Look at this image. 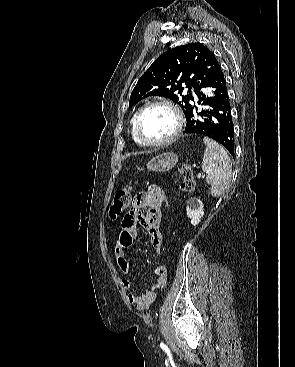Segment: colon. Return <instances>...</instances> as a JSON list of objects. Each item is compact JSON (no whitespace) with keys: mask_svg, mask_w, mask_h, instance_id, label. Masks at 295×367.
Masks as SVG:
<instances>
[{"mask_svg":"<svg viewBox=\"0 0 295 367\" xmlns=\"http://www.w3.org/2000/svg\"><path fill=\"white\" fill-rule=\"evenodd\" d=\"M180 174L182 176V182L180 183V189L185 192H191L195 187V180L193 176V171L191 167L187 164L182 165L179 168ZM162 201V208L164 211H169V201L170 196L164 195ZM131 201V187L127 186L125 188L119 189L114 196L113 203L110 208V216L116 218L119 216L129 205ZM123 241L126 245L130 243V238L128 235H124Z\"/></svg>","mask_w":295,"mask_h":367,"instance_id":"5ec220e1","label":"colon"}]
</instances>
